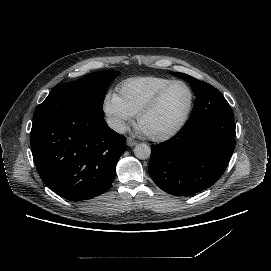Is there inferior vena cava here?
Instances as JSON below:
<instances>
[{
  "instance_id": "obj_1",
  "label": "inferior vena cava",
  "mask_w": 271,
  "mask_h": 271,
  "mask_svg": "<svg viewBox=\"0 0 271 271\" xmlns=\"http://www.w3.org/2000/svg\"><path fill=\"white\" fill-rule=\"evenodd\" d=\"M108 126L114 131L124 134L127 131V126L124 121L117 118H108L107 119Z\"/></svg>"
}]
</instances>
